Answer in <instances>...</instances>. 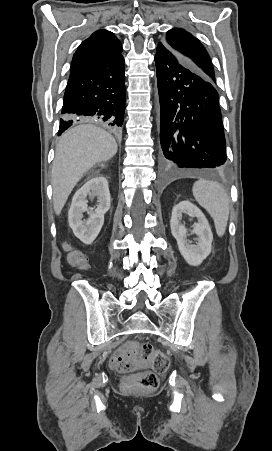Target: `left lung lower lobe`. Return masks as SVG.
<instances>
[{
  "instance_id": "1",
  "label": "left lung lower lobe",
  "mask_w": 272,
  "mask_h": 451,
  "mask_svg": "<svg viewBox=\"0 0 272 451\" xmlns=\"http://www.w3.org/2000/svg\"><path fill=\"white\" fill-rule=\"evenodd\" d=\"M160 158L168 169H226V142L215 84L184 56L159 42Z\"/></svg>"
}]
</instances>
